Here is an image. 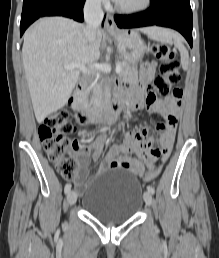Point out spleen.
I'll return each instance as SVG.
<instances>
[{"instance_id":"obj_1","label":"spleen","mask_w":219,"mask_h":258,"mask_svg":"<svg viewBox=\"0 0 219 258\" xmlns=\"http://www.w3.org/2000/svg\"><path fill=\"white\" fill-rule=\"evenodd\" d=\"M148 37L152 40L167 43V44H174V46L180 51L181 55V64L184 69H187L189 66V53L186 47L182 44L180 37L175 32L160 28V27H151L146 32Z\"/></svg>"}]
</instances>
